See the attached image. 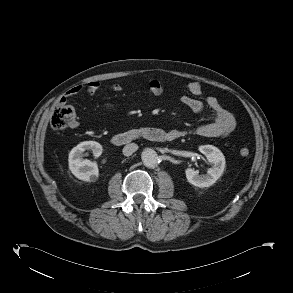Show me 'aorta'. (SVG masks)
<instances>
[{
	"mask_svg": "<svg viewBox=\"0 0 293 293\" xmlns=\"http://www.w3.org/2000/svg\"><path fill=\"white\" fill-rule=\"evenodd\" d=\"M143 164L148 168H155L158 164V154L151 148H146L141 154Z\"/></svg>",
	"mask_w": 293,
	"mask_h": 293,
	"instance_id": "aorta-1",
	"label": "aorta"
}]
</instances>
